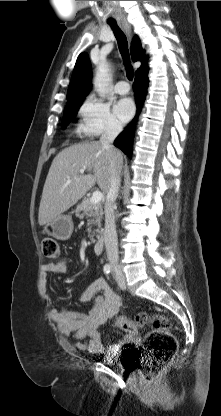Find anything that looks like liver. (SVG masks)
I'll list each match as a JSON object with an SVG mask.
<instances>
[{"mask_svg": "<svg viewBox=\"0 0 221 416\" xmlns=\"http://www.w3.org/2000/svg\"><path fill=\"white\" fill-rule=\"evenodd\" d=\"M117 152V163L121 167L123 156L120 151ZM82 169L93 174L80 173ZM112 174L109 154L99 141L74 144L63 149L53 159L43 187L39 224L45 225L67 211L96 183L103 193H107Z\"/></svg>", "mask_w": 221, "mask_h": 416, "instance_id": "liver-1", "label": "liver"}]
</instances>
